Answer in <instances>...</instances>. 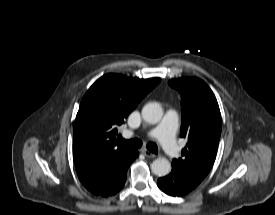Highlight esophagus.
<instances>
[{
    "instance_id": "obj_1",
    "label": "esophagus",
    "mask_w": 275,
    "mask_h": 215,
    "mask_svg": "<svg viewBox=\"0 0 275 215\" xmlns=\"http://www.w3.org/2000/svg\"><path fill=\"white\" fill-rule=\"evenodd\" d=\"M141 153L144 154L148 158H155L156 155L148 151L147 149H142Z\"/></svg>"
}]
</instances>
